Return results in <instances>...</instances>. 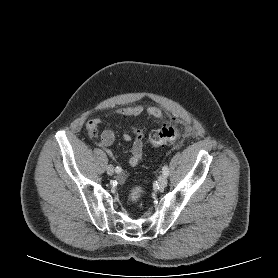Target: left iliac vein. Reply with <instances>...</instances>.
<instances>
[{"label":"left iliac vein","instance_id":"left-iliac-vein-1","mask_svg":"<svg viewBox=\"0 0 278 278\" xmlns=\"http://www.w3.org/2000/svg\"><path fill=\"white\" fill-rule=\"evenodd\" d=\"M167 176H165V175H161L160 177H159V179H158V183H159V186L161 187V188H164V187H166V185H167Z\"/></svg>","mask_w":278,"mask_h":278}]
</instances>
